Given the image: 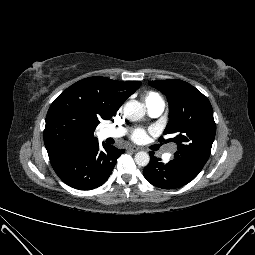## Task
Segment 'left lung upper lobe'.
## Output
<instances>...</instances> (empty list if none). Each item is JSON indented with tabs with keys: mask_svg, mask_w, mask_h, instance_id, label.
I'll return each instance as SVG.
<instances>
[{
	"mask_svg": "<svg viewBox=\"0 0 255 255\" xmlns=\"http://www.w3.org/2000/svg\"><path fill=\"white\" fill-rule=\"evenodd\" d=\"M150 85L165 94L169 102V122L164 134L175 135L167 140L177 144L174 157L205 165L216 132L208 98L178 79L151 81ZM160 140L163 141V137Z\"/></svg>",
	"mask_w": 255,
	"mask_h": 255,
	"instance_id": "left-lung-upper-lobe-1",
	"label": "left lung upper lobe"
}]
</instances>
